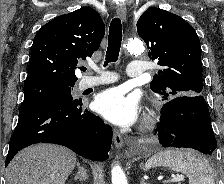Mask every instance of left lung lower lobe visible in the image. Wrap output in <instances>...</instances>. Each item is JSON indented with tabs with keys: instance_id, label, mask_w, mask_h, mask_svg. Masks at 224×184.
Here are the masks:
<instances>
[{
	"instance_id": "0a47b994",
	"label": "left lung lower lobe",
	"mask_w": 224,
	"mask_h": 184,
	"mask_svg": "<svg viewBox=\"0 0 224 184\" xmlns=\"http://www.w3.org/2000/svg\"><path fill=\"white\" fill-rule=\"evenodd\" d=\"M156 132L159 145L164 148H193L204 154H212L216 149L209 110L202 95L168 100Z\"/></svg>"
}]
</instances>
